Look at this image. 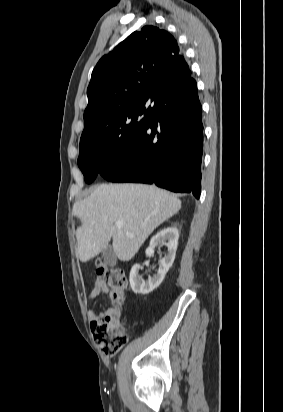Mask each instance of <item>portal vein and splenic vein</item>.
Returning a JSON list of instances; mask_svg holds the SVG:
<instances>
[{
	"label": "portal vein and splenic vein",
	"mask_w": 283,
	"mask_h": 412,
	"mask_svg": "<svg viewBox=\"0 0 283 412\" xmlns=\"http://www.w3.org/2000/svg\"><path fill=\"white\" fill-rule=\"evenodd\" d=\"M115 225H116L117 228H121V227H122V223L119 222V221H117V222L115 223Z\"/></svg>",
	"instance_id": "1"
}]
</instances>
